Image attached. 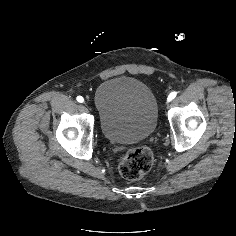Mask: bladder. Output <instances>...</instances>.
Returning a JSON list of instances; mask_svg holds the SVG:
<instances>
[{
	"label": "bladder",
	"mask_w": 236,
	"mask_h": 236,
	"mask_svg": "<svg viewBox=\"0 0 236 236\" xmlns=\"http://www.w3.org/2000/svg\"><path fill=\"white\" fill-rule=\"evenodd\" d=\"M94 103L102 135L117 144L135 143L149 137L158 120V103L142 81L118 77L103 82Z\"/></svg>",
	"instance_id": "obj_1"
}]
</instances>
